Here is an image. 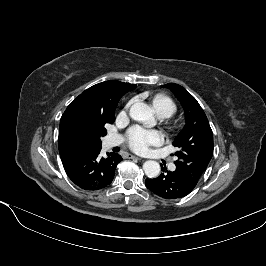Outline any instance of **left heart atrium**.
Segmentation results:
<instances>
[{
    "label": "left heart atrium",
    "instance_id": "obj_1",
    "mask_svg": "<svg viewBox=\"0 0 266 266\" xmlns=\"http://www.w3.org/2000/svg\"><path fill=\"white\" fill-rule=\"evenodd\" d=\"M162 142V135L157 131L134 127L129 132V145L136 152H146L150 146Z\"/></svg>",
    "mask_w": 266,
    "mask_h": 266
}]
</instances>
